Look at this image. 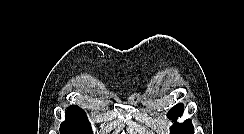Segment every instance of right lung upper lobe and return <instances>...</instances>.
<instances>
[{"mask_svg": "<svg viewBox=\"0 0 244 134\" xmlns=\"http://www.w3.org/2000/svg\"><path fill=\"white\" fill-rule=\"evenodd\" d=\"M66 119L71 120H87L86 113L77 105H72L67 108Z\"/></svg>", "mask_w": 244, "mask_h": 134, "instance_id": "obj_1", "label": "right lung upper lobe"}]
</instances>
